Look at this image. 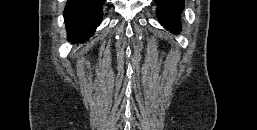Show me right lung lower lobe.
Here are the masks:
<instances>
[{"mask_svg": "<svg viewBox=\"0 0 257 130\" xmlns=\"http://www.w3.org/2000/svg\"><path fill=\"white\" fill-rule=\"evenodd\" d=\"M105 0H68L64 18L69 41L83 43L102 21Z\"/></svg>", "mask_w": 257, "mask_h": 130, "instance_id": "right-lung-lower-lobe-1", "label": "right lung lower lobe"}]
</instances>
